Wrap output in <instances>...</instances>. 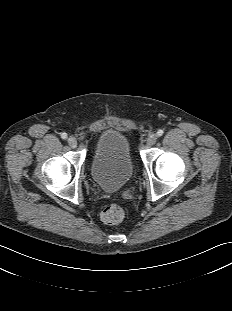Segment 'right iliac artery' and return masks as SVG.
<instances>
[{"label": "right iliac artery", "instance_id": "1", "mask_svg": "<svg viewBox=\"0 0 232 311\" xmlns=\"http://www.w3.org/2000/svg\"><path fill=\"white\" fill-rule=\"evenodd\" d=\"M61 138H62V139H67V134H66V133H62V134H61Z\"/></svg>", "mask_w": 232, "mask_h": 311}]
</instances>
